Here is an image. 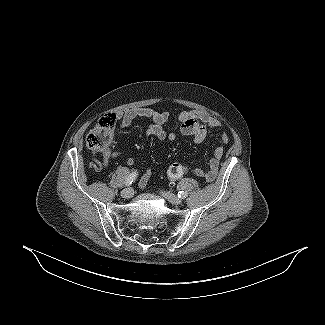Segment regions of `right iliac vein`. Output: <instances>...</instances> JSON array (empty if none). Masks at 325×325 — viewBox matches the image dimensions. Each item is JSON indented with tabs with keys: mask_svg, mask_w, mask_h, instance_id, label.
<instances>
[{
	"mask_svg": "<svg viewBox=\"0 0 325 325\" xmlns=\"http://www.w3.org/2000/svg\"><path fill=\"white\" fill-rule=\"evenodd\" d=\"M121 196L125 199H130L133 196V189L126 188V189L122 190Z\"/></svg>",
	"mask_w": 325,
	"mask_h": 325,
	"instance_id": "obj_1",
	"label": "right iliac vein"
}]
</instances>
